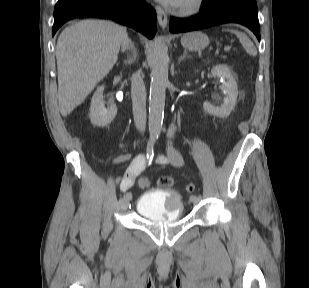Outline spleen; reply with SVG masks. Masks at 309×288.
Masks as SVG:
<instances>
[{
  "label": "spleen",
  "instance_id": "3e777b00",
  "mask_svg": "<svg viewBox=\"0 0 309 288\" xmlns=\"http://www.w3.org/2000/svg\"><path fill=\"white\" fill-rule=\"evenodd\" d=\"M231 32L234 33L238 37L240 43L243 45L247 53H249L252 56L257 55V50L255 46L244 33H241L239 31H234V30H232Z\"/></svg>",
  "mask_w": 309,
  "mask_h": 288
}]
</instances>
